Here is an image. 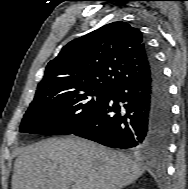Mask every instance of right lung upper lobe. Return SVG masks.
Instances as JSON below:
<instances>
[{
	"mask_svg": "<svg viewBox=\"0 0 188 189\" xmlns=\"http://www.w3.org/2000/svg\"><path fill=\"white\" fill-rule=\"evenodd\" d=\"M150 71L139 29L118 21L72 40L51 60L35 95L113 89Z\"/></svg>",
	"mask_w": 188,
	"mask_h": 189,
	"instance_id": "1",
	"label": "right lung upper lobe"
}]
</instances>
